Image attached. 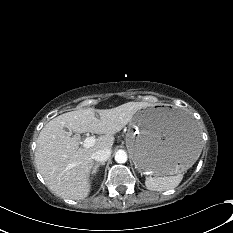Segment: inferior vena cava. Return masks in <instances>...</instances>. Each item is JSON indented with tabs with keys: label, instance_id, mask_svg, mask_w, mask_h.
Returning a JSON list of instances; mask_svg holds the SVG:
<instances>
[{
	"label": "inferior vena cava",
	"instance_id": "obj_1",
	"mask_svg": "<svg viewBox=\"0 0 233 233\" xmlns=\"http://www.w3.org/2000/svg\"><path fill=\"white\" fill-rule=\"evenodd\" d=\"M111 156L110 149H100L92 154V159L98 162H105Z\"/></svg>",
	"mask_w": 233,
	"mask_h": 233
}]
</instances>
